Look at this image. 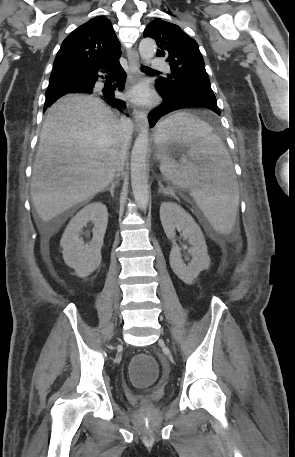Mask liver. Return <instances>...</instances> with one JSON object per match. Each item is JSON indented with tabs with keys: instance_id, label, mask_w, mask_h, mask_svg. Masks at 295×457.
<instances>
[{
	"instance_id": "liver-1",
	"label": "liver",
	"mask_w": 295,
	"mask_h": 457,
	"mask_svg": "<svg viewBox=\"0 0 295 457\" xmlns=\"http://www.w3.org/2000/svg\"><path fill=\"white\" fill-rule=\"evenodd\" d=\"M123 148L127 141L121 120L101 99L67 95L53 104L31 178V197L41 220L50 222L103 191L113 181Z\"/></svg>"
}]
</instances>
